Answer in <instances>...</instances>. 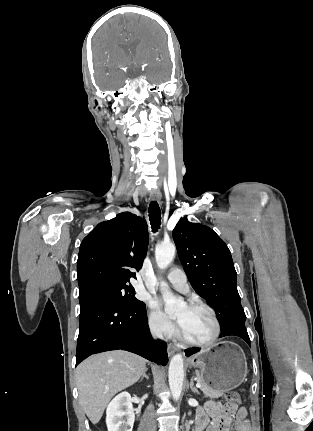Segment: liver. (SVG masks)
<instances>
[{
  "label": "liver",
  "instance_id": "obj_1",
  "mask_svg": "<svg viewBox=\"0 0 313 431\" xmlns=\"http://www.w3.org/2000/svg\"><path fill=\"white\" fill-rule=\"evenodd\" d=\"M146 360L126 351L93 355L76 369L79 402L93 424L118 392L136 383L143 375Z\"/></svg>",
  "mask_w": 313,
  "mask_h": 431
}]
</instances>
